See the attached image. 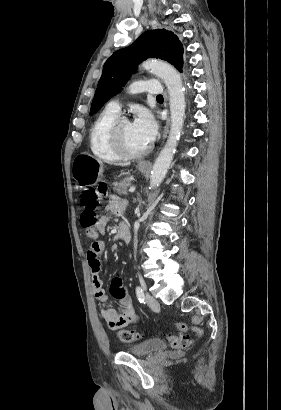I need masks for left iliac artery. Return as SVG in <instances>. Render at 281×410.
I'll use <instances>...</instances> for the list:
<instances>
[{
	"instance_id": "obj_1",
	"label": "left iliac artery",
	"mask_w": 281,
	"mask_h": 410,
	"mask_svg": "<svg viewBox=\"0 0 281 410\" xmlns=\"http://www.w3.org/2000/svg\"><path fill=\"white\" fill-rule=\"evenodd\" d=\"M136 295L138 300L142 303L144 302V292L143 289L140 286L136 287Z\"/></svg>"
}]
</instances>
